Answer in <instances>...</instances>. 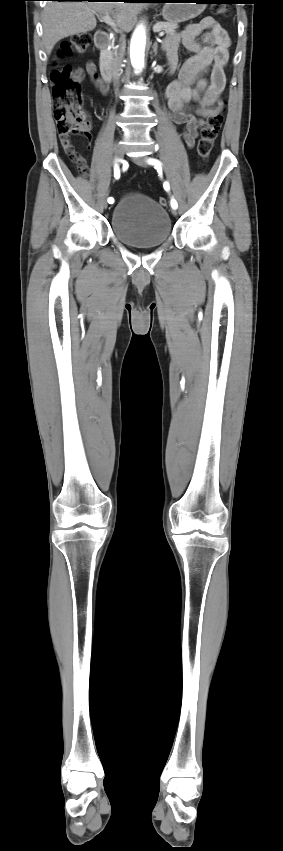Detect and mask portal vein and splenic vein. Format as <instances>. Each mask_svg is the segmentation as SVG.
I'll list each match as a JSON object with an SVG mask.
<instances>
[{"instance_id":"portal-vein-and-splenic-vein-1","label":"portal vein and splenic vein","mask_w":283,"mask_h":851,"mask_svg":"<svg viewBox=\"0 0 283 851\" xmlns=\"http://www.w3.org/2000/svg\"><path fill=\"white\" fill-rule=\"evenodd\" d=\"M101 19H102V21H104L106 24H108L109 26H111L114 30H117V25H116L115 21H114V20L110 17V15H109L108 13H106L105 15H102V16H101ZM159 36H160V37L164 36V32H160V33H159Z\"/></svg>"}]
</instances>
